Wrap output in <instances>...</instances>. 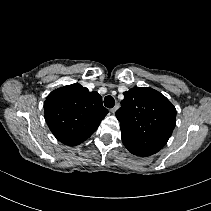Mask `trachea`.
<instances>
[{"label":"trachea","instance_id":"trachea-1","mask_svg":"<svg viewBox=\"0 0 211 211\" xmlns=\"http://www.w3.org/2000/svg\"><path fill=\"white\" fill-rule=\"evenodd\" d=\"M104 105L107 107V108H113L114 105H115V100L112 96L108 95L105 97L104 99Z\"/></svg>","mask_w":211,"mask_h":211}]
</instances>
